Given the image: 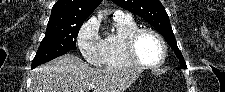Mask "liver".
I'll return each mask as SVG.
<instances>
[{
  "instance_id": "obj_1",
  "label": "liver",
  "mask_w": 225,
  "mask_h": 92,
  "mask_svg": "<svg viewBox=\"0 0 225 92\" xmlns=\"http://www.w3.org/2000/svg\"><path fill=\"white\" fill-rule=\"evenodd\" d=\"M138 69H96L79 57L65 54L35 68L31 92H125L139 77Z\"/></svg>"
}]
</instances>
